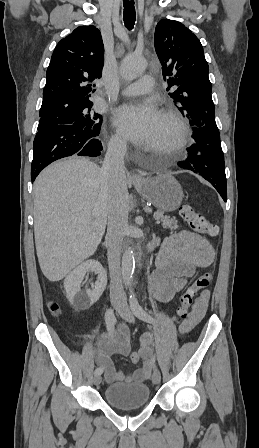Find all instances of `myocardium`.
Masks as SVG:
<instances>
[{"label":"myocardium","instance_id":"1","mask_svg":"<svg viewBox=\"0 0 259 448\" xmlns=\"http://www.w3.org/2000/svg\"><path fill=\"white\" fill-rule=\"evenodd\" d=\"M160 117L171 121L175 128L173 140L162 151L176 155L181 151L187 137L186 122L182 114L171 105L163 108Z\"/></svg>","mask_w":259,"mask_h":448}]
</instances>
